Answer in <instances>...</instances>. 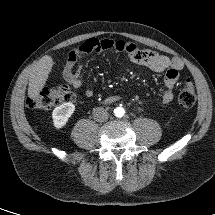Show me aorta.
Instances as JSON below:
<instances>
[{
    "label": "aorta",
    "mask_w": 215,
    "mask_h": 215,
    "mask_svg": "<svg viewBox=\"0 0 215 215\" xmlns=\"http://www.w3.org/2000/svg\"><path fill=\"white\" fill-rule=\"evenodd\" d=\"M114 114L116 117H122L125 114V110L122 107H117L116 109H114Z\"/></svg>",
    "instance_id": "1"
}]
</instances>
